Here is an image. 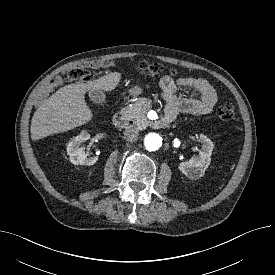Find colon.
Listing matches in <instances>:
<instances>
[{"label":"colon","mask_w":275,"mask_h":275,"mask_svg":"<svg viewBox=\"0 0 275 275\" xmlns=\"http://www.w3.org/2000/svg\"><path fill=\"white\" fill-rule=\"evenodd\" d=\"M112 65L110 60H96L87 62L84 66H77L68 69L65 73V79L68 82L80 84L88 83L93 77L85 69V67L96 68V67H109ZM136 69L144 74L151 77L158 78L164 74V67L158 63L140 62L137 64ZM171 74H175V71L171 70ZM217 116L222 120H231L234 117V107L231 103H224L218 107Z\"/></svg>","instance_id":"obj_1"}]
</instances>
